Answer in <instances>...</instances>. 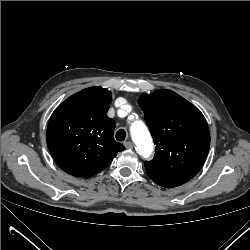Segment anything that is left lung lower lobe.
<instances>
[{
	"instance_id": "left-lung-lower-lobe-1",
	"label": "left lung lower lobe",
	"mask_w": 250,
	"mask_h": 250,
	"mask_svg": "<svg viewBox=\"0 0 250 250\" xmlns=\"http://www.w3.org/2000/svg\"><path fill=\"white\" fill-rule=\"evenodd\" d=\"M150 178L157 183L160 186L166 187V188H172V187H176L179 185H182L186 182H188L190 179H186V178H160V177H156V176H150Z\"/></svg>"
}]
</instances>
